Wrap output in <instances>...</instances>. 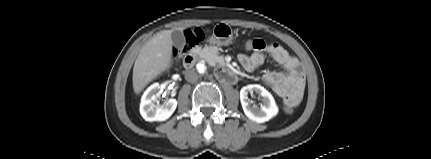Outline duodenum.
Segmentation results:
<instances>
[{"label":"duodenum","instance_id":"duodenum-1","mask_svg":"<svg viewBox=\"0 0 431 159\" xmlns=\"http://www.w3.org/2000/svg\"><path fill=\"white\" fill-rule=\"evenodd\" d=\"M197 60V55L195 52H191L184 57L183 65L186 69H190L194 66ZM220 81L226 84L234 83L237 80V73L232 68L221 65L217 72Z\"/></svg>","mask_w":431,"mask_h":159}]
</instances>
